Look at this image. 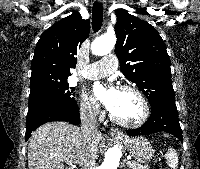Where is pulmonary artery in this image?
Masks as SVG:
<instances>
[{
	"mask_svg": "<svg viewBox=\"0 0 200 169\" xmlns=\"http://www.w3.org/2000/svg\"><path fill=\"white\" fill-rule=\"evenodd\" d=\"M118 66V60L115 55L109 54L104 56L97 62L88 65L83 72V76L87 79H99L112 74Z\"/></svg>",
	"mask_w": 200,
	"mask_h": 169,
	"instance_id": "obj_1",
	"label": "pulmonary artery"
}]
</instances>
